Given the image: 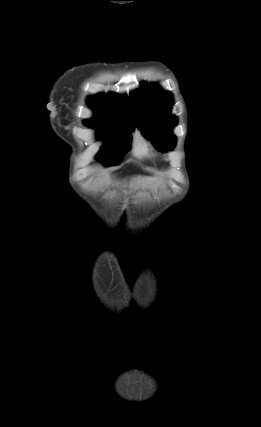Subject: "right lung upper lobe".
Segmentation results:
<instances>
[{"instance_id": "right-lung-upper-lobe-1", "label": "right lung upper lobe", "mask_w": 261, "mask_h": 427, "mask_svg": "<svg viewBox=\"0 0 261 427\" xmlns=\"http://www.w3.org/2000/svg\"><path fill=\"white\" fill-rule=\"evenodd\" d=\"M89 106L96 112L95 121L126 122L134 124L127 96L121 98L117 94H99L97 98L89 97Z\"/></svg>"}]
</instances>
